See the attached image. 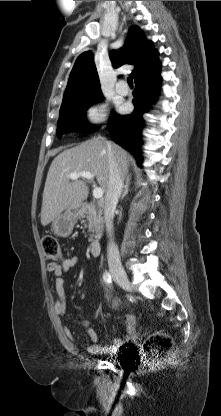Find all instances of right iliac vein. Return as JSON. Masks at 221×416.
I'll use <instances>...</instances> for the list:
<instances>
[{
    "label": "right iliac vein",
    "mask_w": 221,
    "mask_h": 416,
    "mask_svg": "<svg viewBox=\"0 0 221 416\" xmlns=\"http://www.w3.org/2000/svg\"><path fill=\"white\" fill-rule=\"evenodd\" d=\"M112 275L115 281L124 289L131 290L132 286L131 283L126 275V273L121 269H112Z\"/></svg>",
    "instance_id": "63e3f726"
}]
</instances>
